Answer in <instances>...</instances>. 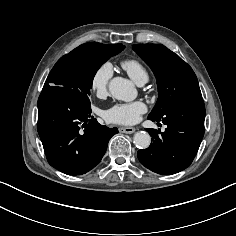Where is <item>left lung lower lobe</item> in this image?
<instances>
[{"instance_id":"0a47b994","label":"left lung lower lobe","mask_w":236,"mask_h":236,"mask_svg":"<svg viewBox=\"0 0 236 236\" xmlns=\"http://www.w3.org/2000/svg\"><path fill=\"white\" fill-rule=\"evenodd\" d=\"M165 132L147 129L152 136L149 148L139 150L143 166L158 174H175L186 169L197 154L204 136L205 106L202 96L181 99L168 107L161 118Z\"/></svg>"}]
</instances>
